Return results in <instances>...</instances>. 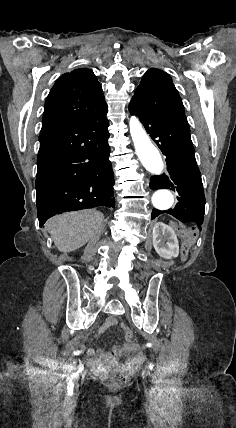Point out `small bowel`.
I'll list each match as a JSON object with an SVG mask.
<instances>
[{
    "mask_svg": "<svg viewBox=\"0 0 236 428\" xmlns=\"http://www.w3.org/2000/svg\"><path fill=\"white\" fill-rule=\"evenodd\" d=\"M117 319L109 317L103 326L97 332V336L103 333L106 329L117 325ZM90 364L98 371H104L110 367H132L140 364L144 356L136 344H125L123 346H115L111 352L93 351L90 350Z\"/></svg>",
    "mask_w": 236,
    "mask_h": 428,
    "instance_id": "1",
    "label": "small bowel"
}]
</instances>
